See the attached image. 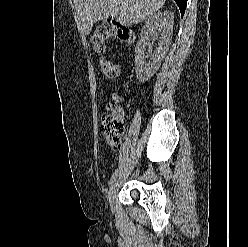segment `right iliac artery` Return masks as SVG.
Segmentation results:
<instances>
[{"label":"right iliac artery","instance_id":"1","mask_svg":"<svg viewBox=\"0 0 248 247\" xmlns=\"http://www.w3.org/2000/svg\"><path fill=\"white\" fill-rule=\"evenodd\" d=\"M118 172H119V169H116V170L114 171V173H113V175H112V177H111V179H110V181H109V186H110V187H111L112 184L115 182V180H116V178H117V176H118Z\"/></svg>","mask_w":248,"mask_h":247}]
</instances>
